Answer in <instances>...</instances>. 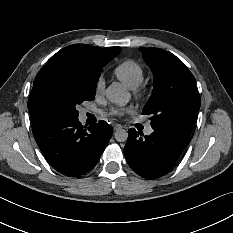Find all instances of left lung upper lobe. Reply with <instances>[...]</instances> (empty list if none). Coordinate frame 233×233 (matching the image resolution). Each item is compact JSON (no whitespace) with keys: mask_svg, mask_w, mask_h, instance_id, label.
<instances>
[{"mask_svg":"<svg viewBox=\"0 0 233 233\" xmlns=\"http://www.w3.org/2000/svg\"><path fill=\"white\" fill-rule=\"evenodd\" d=\"M154 74V89L142 114L152 115L154 130L190 135L200 109L196 81L175 55L159 48H140Z\"/></svg>","mask_w":233,"mask_h":233,"instance_id":"left-lung-upper-lobe-1","label":"left lung upper lobe"}]
</instances>
